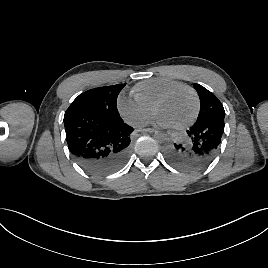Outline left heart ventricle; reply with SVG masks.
I'll return each mask as SVG.
<instances>
[{
    "label": "left heart ventricle",
    "mask_w": 268,
    "mask_h": 268,
    "mask_svg": "<svg viewBox=\"0 0 268 268\" xmlns=\"http://www.w3.org/2000/svg\"><path fill=\"white\" fill-rule=\"evenodd\" d=\"M195 101L188 90H179L166 100L158 109L157 117L170 127L187 121L193 114Z\"/></svg>",
    "instance_id": "b2bd125f"
}]
</instances>
